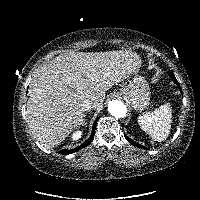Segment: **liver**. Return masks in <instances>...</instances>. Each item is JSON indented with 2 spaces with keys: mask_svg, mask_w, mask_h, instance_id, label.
Returning a JSON list of instances; mask_svg holds the SVG:
<instances>
[{
  "mask_svg": "<svg viewBox=\"0 0 200 200\" xmlns=\"http://www.w3.org/2000/svg\"><path fill=\"white\" fill-rule=\"evenodd\" d=\"M137 53L128 50L66 52L45 63L34 74L26 113L32 135L45 147L63 142L82 125L90 99L94 108L104 102L105 92L136 73Z\"/></svg>",
  "mask_w": 200,
  "mask_h": 200,
  "instance_id": "liver-1",
  "label": "liver"
}]
</instances>
